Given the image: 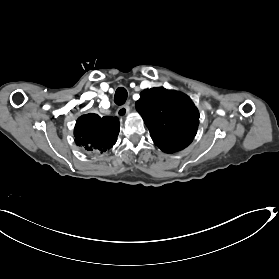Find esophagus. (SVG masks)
Masks as SVG:
<instances>
[{
  "label": "esophagus",
  "instance_id": "1",
  "mask_svg": "<svg viewBox=\"0 0 279 279\" xmlns=\"http://www.w3.org/2000/svg\"><path fill=\"white\" fill-rule=\"evenodd\" d=\"M129 109H130L129 104L126 103V104L120 106V107L117 109L116 114H117L119 117H124V116H126V114L129 112Z\"/></svg>",
  "mask_w": 279,
  "mask_h": 279
}]
</instances>
